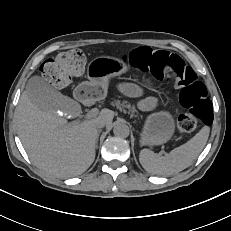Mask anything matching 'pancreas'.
<instances>
[{
    "instance_id": "obj_1",
    "label": "pancreas",
    "mask_w": 231,
    "mask_h": 231,
    "mask_svg": "<svg viewBox=\"0 0 231 231\" xmlns=\"http://www.w3.org/2000/svg\"><path fill=\"white\" fill-rule=\"evenodd\" d=\"M111 105L117 107L119 110L128 112L129 114H131V116L139 117V113L136 110L135 106H132L126 101L114 100L113 102H111Z\"/></svg>"
}]
</instances>
